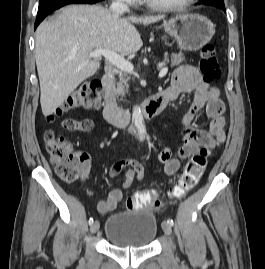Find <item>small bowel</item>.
I'll return each mask as SVG.
<instances>
[{"mask_svg":"<svg viewBox=\"0 0 265 269\" xmlns=\"http://www.w3.org/2000/svg\"><path fill=\"white\" fill-rule=\"evenodd\" d=\"M182 94H190L193 97L190 110L184 115L181 122L186 133L177 149L166 147L157 155V160L164 165V171L167 175H174L178 172L181 160L192 156L202 146L214 148L222 145L226 139L225 123L222 116L224 103L220 99L219 90L210 86L194 66L182 65L174 71L171 85L162 92L165 106L175 102ZM204 109L206 116L212 118L210 133L192 126L195 118ZM83 120L87 123L84 129L72 128L70 131H91L94 127L92 121ZM81 164V180L83 181L90 171V156L88 154H82ZM126 166L132 168L124 175L123 187L130 188L136 179L141 180L144 176V167L139 161L131 158L119 160L111 166L109 173L111 177H116ZM122 197L121 189L111 190L105 199L98 202L99 213L107 214L114 211Z\"/></svg>","mask_w":265,"mask_h":269,"instance_id":"small-bowel-1","label":"small bowel"}]
</instances>
